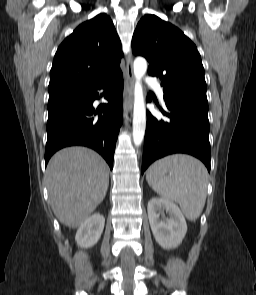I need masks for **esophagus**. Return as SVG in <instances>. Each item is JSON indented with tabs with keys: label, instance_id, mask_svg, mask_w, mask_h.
<instances>
[{
	"label": "esophagus",
	"instance_id": "1",
	"mask_svg": "<svg viewBox=\"0 0 256 295\" xmlns=\"http://www.w3.org/2000/svg\"><path fill=\"white\" fill-rule=\"evenodd\" d=\"M126 77H127V89L124 99V110L127 112L133 105V88H134V73L132 64V53L130 52L126 59Z\"/></svg>",
	"mask_w": 256,
	"mask_h": 295
}]
</instances>
